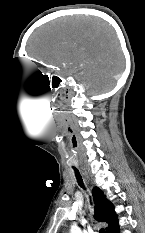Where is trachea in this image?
Wrapping results in <instances>:
<instances>
[{
	"mask_svg": "<svg viewBox=\"0 0 145 233\" xmlns=\"http://www.w3.org/2000/svg\"><path fill=\"white\" fill-rule=\"evenodd\" d=\"M74 171H75V175H76L78 184H79L82 188H84L83 180H82V178H81V175H80L79 171H78L76 168H74ZM99 233H105V230H104V229H100V230H99Z\"/></svg>",
	"mask_w": 145,
	"mask_h": 233,
	"instance_id": "obj_1",
	"label": "trachea"
}]
</instances>
